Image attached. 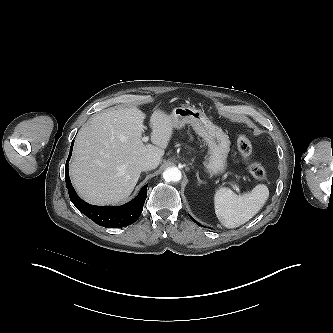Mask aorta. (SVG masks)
Wrapping results in <instances>:
<instances>
[{
  "mask_svg": "<svg viewBox=\"0 0 333 333\" xmlns=\"http://www.w3.org/2000/svg\"><path fill=\"white\" fill-rule=\"evenodd\" d=\"M163 178L167 182H178L181 180L182 174L177 167H170L163 172Z\"/></svg>",
  "mask_w": 333,
  "mask_h": 333,
  "instance_id": "obj_1",
  "label": "aorta"
}]
</instances>
